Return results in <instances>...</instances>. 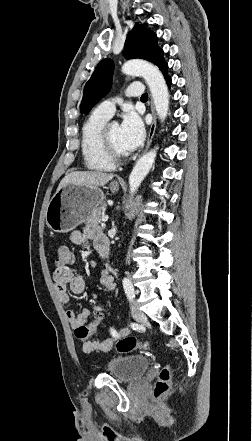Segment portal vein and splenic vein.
Here are the masks:
<instances>
[{"label":"portal vein and splenic vein","mask_w":252,"mask_h":441,"mask_svg":"<svg viewBox=\"0 0 252 441\" xmlns=\"http://www.w3.org/2000/svg\"><path fill=\"white\" fill-rule=\"evenodd\" d=\"M101 221L102 222H107L108 221V216H102Z\"/></svg>","instance_id":"obj_1"}]
</instances>
